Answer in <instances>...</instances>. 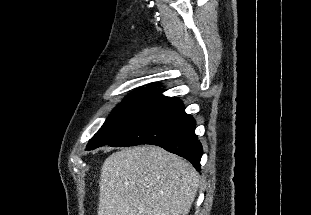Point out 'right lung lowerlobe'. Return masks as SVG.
I'll use <instances>...</instances> for the list:
<instances>
[{
  "label": "right lung lower lobe",
  "instance_id": "right-lung-lower-lobe-1",
  "mask_svg": "<svg viewBox=\"0 0 311 215\" xmlns=\"http://www.w3.org/2000/svg\"><path fill=\"white\" fill-rule=\"evenodd\" d=\"M195 120L179 98L163 97L159 104L120 139L109 146L157 145L184 157L200 171L203 149L195 134Z\"/></svg>",
  "mask_w": 311,
  "mask_h": 215
}]
</instances>
